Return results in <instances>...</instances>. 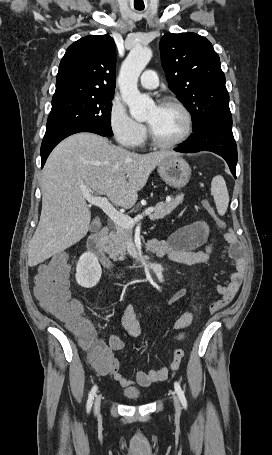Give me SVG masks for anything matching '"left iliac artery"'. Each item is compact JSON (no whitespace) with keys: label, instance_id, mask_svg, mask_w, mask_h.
Instances as JSON below:
<instances>
[{"label":"left iliac artery","instance_id":"obj_1","mask_svg":"<svg viewBox=\"0 0 272 455\" xmlns=\"http://www.w3.org/2000/svg\"><path fill=\"white\" fill-rule=\"evenodd\" d=\"M174 388H175V391L181 401V404L183 405V407L186 409L187 408V400L185 398V395H184V392L183 390L181 389V386L180 384L176 381L174 383Z\"/></svg>","mask_w":272,"mask_h":455}]
</instances>
